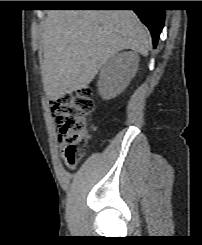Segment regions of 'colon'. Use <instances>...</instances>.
Segmentation results:
<instances>
[{"label":"colon","instance_id":"5ec220e1","mask_svg":"<svg viewBox=\"0 0 202 245\" xmlns=\"http://www.w3.org/2000/svg\"><path fill=\"white\" fill-rule=\"evenodd\" d=\"M93 109V92L89 88L63 94L55 102L54 114L66 143L64 157L70 165H75L85 153L92 131Z\"/></svg>","mask_w":202,"mask_h":245}]
</instances>
